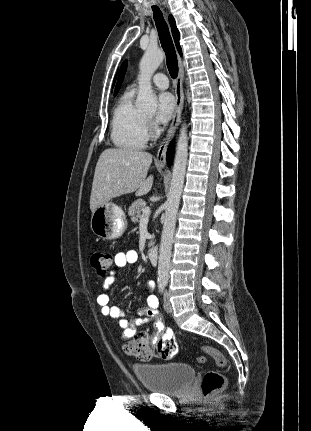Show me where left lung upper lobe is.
I'll use <instances>...</instances> for the list:
<instances>
[{"mask_svg": "<svg viewBox=\"0 0 311 431\" xmlns=\"http://www.w3.org/2000/svg\"><path fill=\"white\" fill-rule=\"evenodd\" d=\"M126 68H127V61H124L122 66H121L120 72H119V78H118V82H117V86H116L114 95H116L118 93L119 87H120V85L123 81V78L125 76V73H126Z\"/></svg>", "mask_w": 311, "mask_h": 431, "instance_id": "obj_1", "label": "left lung upper lobe"}]
</instances>
